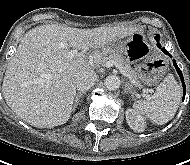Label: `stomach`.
<instances>
[{"label": "stomach", "instance_id": "1", "mask_svg": "<svg viewBox=\"0 0 190 165\" xmlns=\"http://www.w3.org/2000/svg\"><path fill=\"white\" fill-rule=\"evenodd\" d=\"M112 51L120 52V56L146 85L158 83L167 69L163 56L151 48V42L145 35H125L121 40L107 44L101 53L106 55Z\"/></svg>", "mask_w": 190, "mask_h": 165}]
</instances>
